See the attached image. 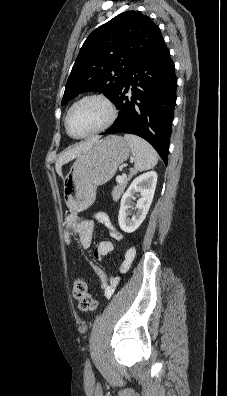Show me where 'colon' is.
<instances>
[{"label": "colon", "instance_id": "1", "mask_svg": "<svg viewBox=\"0 0 227 396\" xmlns=\"http://www.w3.org/2000/svg\"><path fill=\"white\" fill-rule=\"evenodd\" d=\"M72 292L82 311H93L96 309L97 303L88 293L87 285L82 279L77 278L74 280Z\"/></svg>", "mask_w": 227, "mask_h": 396}]
</instances>
